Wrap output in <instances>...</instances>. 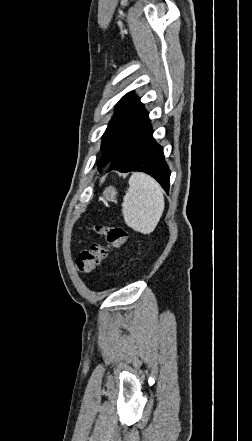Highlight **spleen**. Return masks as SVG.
Returning a JSON list of instances; mask_svg holds the SVG:
<instances>
[{
    "instance_id": "3e777b00",
    "label": "spleen",
    "mask_w": 252,
    "mask_h": 441,
    "mask_svg": "<svg viewBox=\"0 0 252 441\" xmlns=\"http://www.w3.org/2000/svg\"><path fill=\"white\" fill-rule=\"evenodd\" d=\"M164 211L163 189L144 173H133L123 198L122 214L127 226L143 234L156 228Z\"/></svg>"
}]
</instances>
